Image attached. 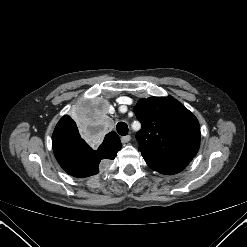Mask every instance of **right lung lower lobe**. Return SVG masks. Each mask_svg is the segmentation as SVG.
Returning <instances> with one entry per match:
<instances>
[{
    "instance_id": "right-lung-lower-lobe-1",
    "label": "right lung lower lobe",
    "mask_w": 247,
    "mask_h": 247,
    "mask_svg": "<svg viewBox=\"0 0 247 247\" xmlns=\"http://www.w3.org/2000/svg\"><path fill=\"white\" fill-rule=\"evenodd\" d=\"M52 145L60 166L68 174L81 178L97 174L118 152L100 147L93 150L79 134L64 131H54Z\"/></svg>"
}]
</instances>
